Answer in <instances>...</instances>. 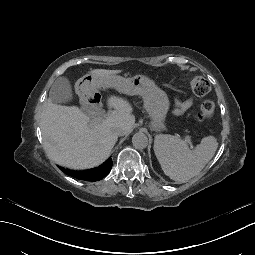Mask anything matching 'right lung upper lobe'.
<instances>
[{
  "mask_svg": "<svg viewBox=\"0 0 255 255\" xmlns=\"http://www.w3.org/2000/svg\"><path fill=\"white\" fill-rule=\"evenodd\" d=\"M111 168H112V159L109 158L105 163L93 169L83 170V171H73V170L61 168V170L65 174L72 176L76 179L95 182L104 178L110 172Z\"/></svg>",
  "mask_w": 255,
  "mask_h": 255,
  "instance_id": "right-lung-upper-lobe-1",
  "label": "right lung upper lobe"
}]
</instances>
